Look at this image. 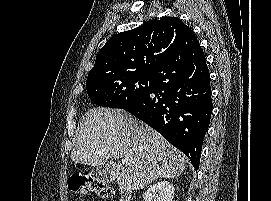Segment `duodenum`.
Returning <instances> with one entry per match:
<instances>
[{"label": "duodenum", "instance_id": "duodenum-1", "mask_svg": "<svg viewBox=\"0 0 271 201\" xmlns=\"http://www.w3.org/2000/svg\"><path fill=\"white\" fill-rule=\"evenodd\" d=\"M132 194L128 188L121 187L119 189V201H131Z\"/></svg>", "mask_w": 271, "mask_h": 201}]
</instances>
